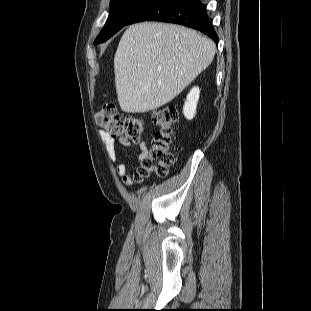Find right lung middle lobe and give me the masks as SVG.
Returning a JSON list of instances; mask_svg holds the SVG:
<instances>
[{
    "label": "right lung middle lobe",
    "instance_id": "right-lung-middle-lobe-1",
    "mask_svg": "<svg viewBox=\"0 0 311 311\" xmlns=\"http://www.w3.org/2000/svg\"><path fill=\"white\" fill-rule=\"evenodd\" d=\"M153 1L155 0H111L109 17L94 44L105 42L111 38L127 25L137 12Z\"/></svg>",
    "mask_w": 311,
    "mask_h": 311
}]
</instances>
